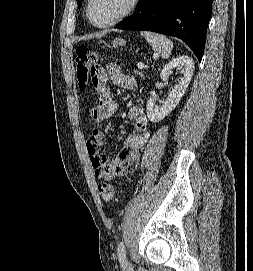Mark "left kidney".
I'll return each mask as SVG.
<instances>
[{
	"label": "left kidney",
	"instance_id": "left-kidney-1",
	"mask_svg": "<svg viewBox=\"0 0 253 271\" xmlns=\"http://www.w3.org/2000/svg\"><path fill=\"white\" fill-rule=\"evenodd\" d=\"M194 68L193 59L188 56L176 57L163 67L160 73L161 80H166L173 69H181L182 77L176 81L167 98L160 101L161 106L156 104L157 98L155 96L149 98L147 116L151 122L163 120L179 104L192 79Z\"/></svg>",
	"mask_w": 253,
	"mask_h": 271
}]
</instances>
